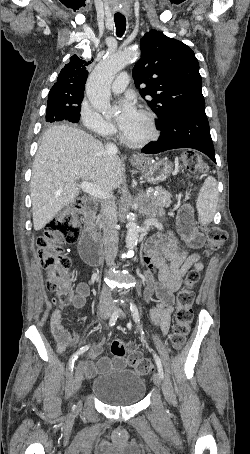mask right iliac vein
<instances>
[{
    "label": "right iliac vein",
    "instance_id": "obj_1",
    "mask_svg": "<svg viewBox=\"0 0 250 454\" xmlns=\"http://www.w3.org/2000/svg\"><path fill=\"white\" fill-rule=\"evenodd\" d=\"M110 309L109 308H102L99 311V317L101 320H106L109 317L110 314ZM83 381V366L82 363L78 364V366L75 368L74 372V380H73V386L75 391H79ZM81 407V402H78V409Z\"/></svg>",
    "mask_w": 250,
    "mask_h": 454
}]
</instances>
